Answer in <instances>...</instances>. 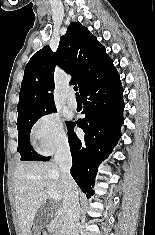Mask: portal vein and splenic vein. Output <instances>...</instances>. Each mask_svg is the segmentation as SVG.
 <instances>
[{
	"label": "portal vein and splenic vein",
	"instance_id": "1",
	"mask_svg": "<svg viewBox=\"0 0 155 235\" xmlns=\"http://www.w3.org/2000/svg\"><path fill=\"white\" fill-rule=\"evenodd\" d=\"M47 194L55 201H59L61 198L58 193L53 192L52 190H46Z\"/></svg>",
	"mask_w": 155,
	"mask_h": 235
}]
</instances>
